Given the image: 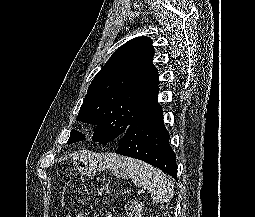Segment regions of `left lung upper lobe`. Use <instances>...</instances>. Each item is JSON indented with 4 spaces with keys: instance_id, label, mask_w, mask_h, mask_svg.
I'll return each mask as SVG.
<instances>
[{
    "instance_id": "5c2ea615",
    "label": "left lung upper lobe",
    "mask_w": 255,
    "mask_h": 217,
    "mask_svg": "<svg viewBox=\"0 0 255 217\" xmlns=\"http://www.w3.org/2000/svg\"><path fill=\"white\" fill-rule=\"evenodd\" d=\"M148 37L134 38L118 48L91 82L77 116L78 121L97 125L93 140L107 143L121 139L157 99L158 70ZM85 140L72 130L67 144Z\"/></svg>"
}]
</instances>
